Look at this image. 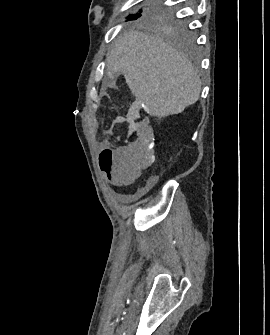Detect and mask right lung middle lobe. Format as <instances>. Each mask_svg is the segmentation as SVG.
<instances>
[{
    "instance_id": "1",
    "label": "right lung middle lobe",
    "mask_w": 270,
    "mask_h": 335,
    "mask_svg": "<svg viewBox=\"0 0 270 335\" xmlns=\"http://www.w3.org/2000/svg\"><path fill=\"white\" fill-rule=\"evenodd\" d=\"M175 12L173 6L149 0L139 13L130 15L128 19L140 18V21L166 32L180 45H190L193 43L194 35L187 28V23L176 17Z\"/></svg>"
}]
</instances>
